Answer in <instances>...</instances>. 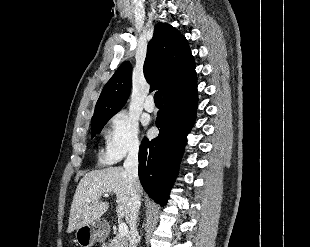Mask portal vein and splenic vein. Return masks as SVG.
Listing matches in <instances>:
<instances>
[{
  "instance_id": "18ae733b",
  "label": "portal vein and splenic vein",
  "mask_w": 310,
  "mask_h": 247,
  "mask_svg": "<svg viewBox=\"0 0 310 247\" xmlns=\"http://www.w3.org/2000/svg\"><path fill=\"white\" fill-rule=\"evenodd\" d=\"M104 197L107 198V197H109V195L105 194ZM118 232H119V236L120 237L127 236V234H128V227H127V225L124 224V223H120L119 226H118Z\"/></svg>"
}]
</instances>
